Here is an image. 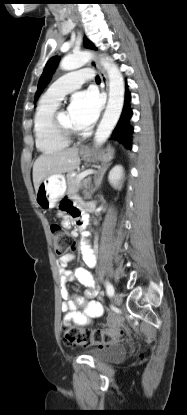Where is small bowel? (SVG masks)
Segmentation results:
<instances>
[{
  "mask_svg": "<svg viewBox=\"0 0 187 415\" xmlns=\"http://www.w3.org/2000/svg\"><path fill=\"white\" fill-rule=\"evenodd\" d=\"M61 212L64 215V226L70 227L71 220L76 221L82 214L76 207L63 204ZM83 259L90 267L95 265L96 259L93 251L83 248ZM74 260V254L67 253L57 260L58 272L61 282V296L64 299L61 308L65 313V322L73 321L77 325H85L88 320L99 318L104 314V308L99 301L94 300L99 296V289L96 287L94 279L89 271L77 268L74 272L67 269V265ZM73 279H77L86 287L83 296L72 294L66 284Z\"/></svg>",
  "mask_w": 187,
  "mask_h": 415,
  "instance_id": "obj_1",
  "label": "small bowel"
}]
</instances>
